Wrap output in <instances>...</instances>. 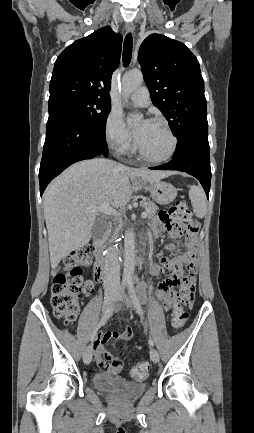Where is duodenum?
I'll return each instance as SVG.
<instances>
[{
    "mask_svg": "<svg viewBox=\"0 0 254 433\" xmlns=\"http://www.w3.org/2000/svg\"><path fill=\"white\" fill-rule=\"evenodd\" d=\"M94 248L97 253V260L95 262L94 268H93V274L96 279L102 280L105 278L106 275V267L107 263L106 260L100 256V253L102 252V246L99 242L94 243Z\"/></svg>",
    "mask_w": 254,
    "mask_h": 433,
    "instance_id": "obj_1",
    "label": "duodenum"
}]
</instances>
